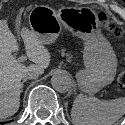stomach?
Masks as SVG:
<instances>
[{"mask_svg":"<svg viewBox=\"0 0 125 125\" xmlns=\"http://www.w3.org/2000/svg\"><path fill=\"white\" fill-rule=\"evenodd\" d=\"M28 21L31 31L42 44L53 43L63 27L83 40L85 69L77 73L82 92L94 94L114 80L116 55L102 35L97 20L88 16L85 9L64 7L56 12L48 6H36Z\"/></svg>","mask_w":125,"mask_h":125,"instance_id":"1","label":"stomach"}]
</instances>
